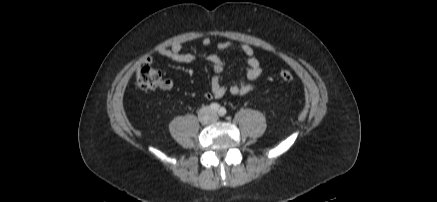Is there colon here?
Segmentation results:
<instances>
[{"instance_id": "colon-1", "label": "colon", "mask_w": 437, "mask_h": 202, "mask_svg": "<svg viewBox=\"0 0 437 202\" xmlns=\"http://www.w3.org/2000/svg\"><path fill=\"white\" fill-rule=\"evenodd\" d=\"M283 81H292L294 76L288 70H282L279 73ZM136 85L141 90H155L161 88L164 82L161 72L150 65V63L141 64L136 71Z\"/></svg>"}]
</instances>
